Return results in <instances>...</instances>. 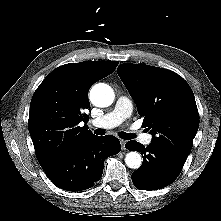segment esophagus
<instances>
[{
	"mask_svg": "<svg viewBox=\"0 0 221 221\" xmlns=\"http://www.w3.org/2000/svg\"><path fill=\"white\" fill-rule=\"evenodd\" d=\"M120 142H121L122 150H125V144H126V141L121 140Z\"/></svg>",
	"mask_w": 221,
	"mask_h": 221,
	"instance_id": "34e87169",
	"label": "esophagus"
}]
</instances>
